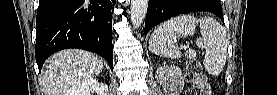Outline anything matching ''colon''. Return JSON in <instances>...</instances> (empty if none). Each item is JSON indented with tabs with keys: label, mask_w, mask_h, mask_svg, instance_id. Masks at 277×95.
<instances>
[{
	"label": "colon",
	"mask_w": 277,
	"mask_h": 95,
	"mask_svg": "<svg viewBox=\"0 0 277 95\" xmlns=\"http://www.w3.org/2000/svg\"><path fill=\"white\" fill-rule=\"evenodd\" d=\"M185 76L188 79H193L202 72V64L198 59L190 60L185 65ZM186 94H195L192 90H189Z\"/></svg>",
	"instance_id": "colon-1"
}]
</instances>
